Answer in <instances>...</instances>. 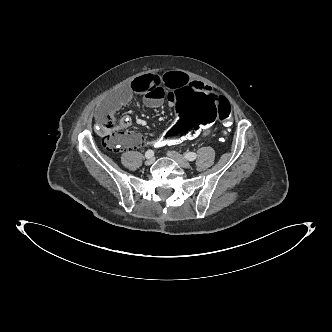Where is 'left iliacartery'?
<instances>
[{
	"label": "left iliac artery",
	"instance_id": "1",
	"mask_svg": "<svg viewBox=\"0 0 332 332\" xmlns=\"http://www.w3.org/2000/svg\"><path fill=\"white\" fill-rule=\"evenodd\" d=\"M184 157L189 161H194L196 159L197 155L194 152H187L184 154Z\"/></svg>",
	"mask_w": 332,
	"mask_h": 332
}]
</instances>
